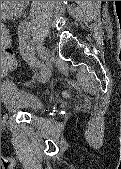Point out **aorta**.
<instances>
[{"instance_id":"1","label":"aorta","mask_w":121,"mask_h":169,"mask_svg":"<svg viewBox=\"0 0 121 169\" xmlns=\"http://www.w3.org/2000/svg\"><path fill=\"white\" fill-rule=\"evenodd\" d=\"M27 4L28 1H4L2 6L10 8L7 9V11L9 10V12L19 13L27 6Z\"/></svg>"}]
</instances>
